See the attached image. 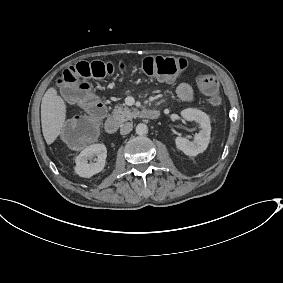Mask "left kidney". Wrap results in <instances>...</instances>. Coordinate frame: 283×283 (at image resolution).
Wrapping results in <instances>:
<instances>
[{
    "mask_svg": "<svg viewBox=\"0 0 283 283\" xmlns=\"http://www.w3.org/2000/svg\"><path fill=\"white\" fill-rule=\"evenodd\" d=\"M181 117L186 121H196L200 127L199 134L195 135V141L189 142L186 139L177 137L175 139L176 148L186 156L196 157L204 153L209 145L211 125L209 117L202 111L196 109H185Z\"/></svg>",
    "mask_w": 283,
    "mask_h": 283,
    "instance_id": "5707ae66",
    "label": "left kidney"
}]
</instances>
